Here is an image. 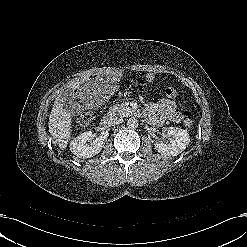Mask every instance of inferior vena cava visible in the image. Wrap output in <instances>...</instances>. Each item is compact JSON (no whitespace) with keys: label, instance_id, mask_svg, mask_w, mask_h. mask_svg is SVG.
<instances>
[{"label":"inferior vena cava","instance_id":"inferior-vena-cava-1","mask_svg":"<svg viewBox=\"0 0 247 247\" xmlns=\"http://www.w3.org/2000/svg\"><path fill=\"white\" fill-rule=\"evenodd\" d=\"M123 123V119L121 117L108 115V125L109 126H116Z\"/></svg>","mask_w":247,"mask_h":247}]
</instances>
